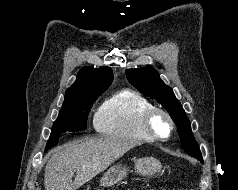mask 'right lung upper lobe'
I'll return each instance as SVG.
<instances>
[{"instance_id":"obj_1","label":"right lung upper lobe","mask_w":238,"mask_h":190,"mask_svg":"<svg viewBox=\"0 0 238 190\" xmlns=\"http://www.w3.org/2000/svg\"><path fill=\"white\" fill-rule=\"evenodd\" d=\"M112 82V69L109 67H84L76 81L66 90L63 104H69L80 96L103 93Z\"/></svg>"}]
</instances>
